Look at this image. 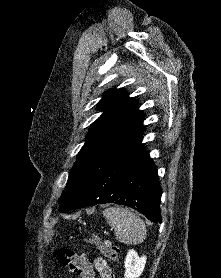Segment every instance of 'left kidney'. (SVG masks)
<instances>
[{"label":"left kidney","mask_w":221,"mask_h":278,"mask_svg":"<svg viewBox=\"0 0 221 278\" xmlns=\"http://www.w3.org/2000/svg\"><path fill=\"white\" fill-rule=\"evenodd\" d=\"M146 264V257H139L137 252L129 250L124 261L125 278H139Z\"/></svg>","instance_id":"obj_1"}]
</instances>
